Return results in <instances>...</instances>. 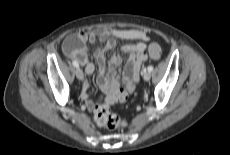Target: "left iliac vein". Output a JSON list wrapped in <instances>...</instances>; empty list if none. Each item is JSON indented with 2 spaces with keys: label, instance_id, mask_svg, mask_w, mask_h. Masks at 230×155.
<instances>
[{
  "label": "left iliac vein",
  "instance_id": "obj_1",
  "mask_svg": "<svg viewBox=\"0 0 230 155\" xmlns=\"http://www.w3.org/2000/svg\"><path fill=\"white\" fill-rule=\"evenodd\" d=\"M143 78L145 81H149L151 78V73L149 71H144Z\"/></svg>",
  "mask_w": 230,
  "mask_h": 155
}]
</instances>
